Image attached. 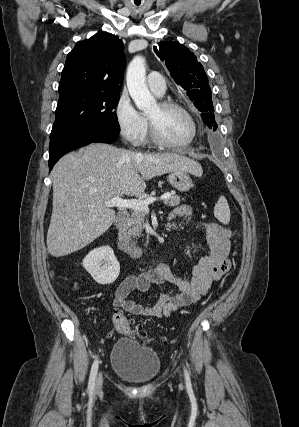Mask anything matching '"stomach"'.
Instances as JSON below:
<instances>
[{"mask_svg": "<svg viewBox=\"0 0 299 427\" xmlns=\"http://www.w3.org/2000/svg\"><path fill=\"white\" fill-rule=\"evenodd\" d=\"M167 178L169 183L180 192H187L193 187L190 173L185 170L170 171Z\"/></svg>", "mask_w": 299, "mask_h": 427, "instance_id": "1", "label": "stomach"}]
</instances>
